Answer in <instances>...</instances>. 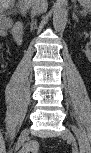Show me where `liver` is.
<instances>
[{"label":"liver","mask_w":91,"mask_h":153,"mask_svg":"<svg viewBox=\"0 0 91 153\" xmlns=\"http://www.w3.org/2000/svg\"><path fill=\"white\" fill-rule=\"evenodd\" d=\"M14 4V0H1V5L7 9ZM32 5V0H19V8L26 10Z\"/></svg>","instance_id":"1"}]
</instances>
